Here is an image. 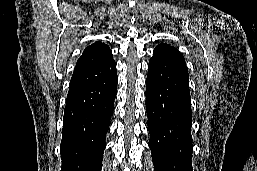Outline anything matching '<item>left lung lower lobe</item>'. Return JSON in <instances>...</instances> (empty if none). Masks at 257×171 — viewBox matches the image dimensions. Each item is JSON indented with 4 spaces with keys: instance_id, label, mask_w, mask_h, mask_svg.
Returning a JSON list of instances; mask_svg holds the SVG:
<instances>
[{
    "instance_id": "0a47b994",
    "label": "left lung lower lobe",
    "mask_w": 257,
    "mask_h": 171,
    "mask_svg": "<svg viewBox=\"0 0 257 171\" xmlns=\"http://www.w3.org/2000/svg\"><path fill=\"white\" fill-rule=\"evenodd\" d=\"M146 112L154 171H192V112L183 55L157 46L148 65Z\"/></svg>"
}]
</instances>
